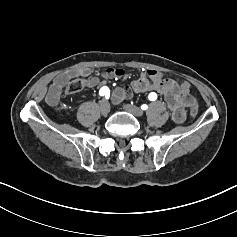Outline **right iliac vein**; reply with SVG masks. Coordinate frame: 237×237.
<instances>
[{"mask_svg": "<svg viewBox=\"0 0 237 237\" xmlns=\"http://www.w3.org/2000/svg\"><path fill=\"white\" fill-rule=\"evenodd\" d=\"M100 110H101V113L103 115H108L109 114V112H110V105H109L108 101L102 100L100 102Z\"/></svg>", "mask_w": 237, "mask_h": 237, "instance_id": "1", "label": "right iliac vein"}]
</instances>
